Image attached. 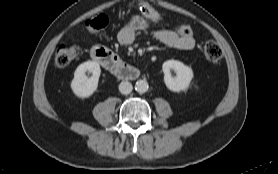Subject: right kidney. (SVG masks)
<instances>
[{"label":"right kidney","mask_w":278,"mask_h":174,"mask_svg":"<svg viewBox=\"0 0 278 174\" xmlns=\"http://www.w3.org/2000/svg\"><path fill=\"white\" fill-rule=\"evenodd\" d=\"M86 72L92 73V76L88 78ZM100 73L101 69L97 62L87 61L80 64L76 68L71 82L74 94L80 98L90 97L97 89Z\"/></svg>","instance_id":"ca27d5eb"}]
</instances>
